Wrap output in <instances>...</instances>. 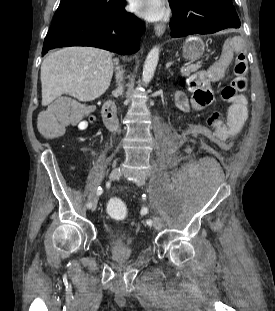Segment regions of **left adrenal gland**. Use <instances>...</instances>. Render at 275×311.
Returning a JSON list of instances; mask_svg holds the SVG:
<instances>
[{"instance_id":"a2214340","label":"left adrenal gland","mask_w":275,"mask_h":311,"mask_svg":"<svg viewBox=\"0 0 275 311\" xmlns=\"http://www.w3.org/2000/svg\"><path fill=\"white\" fill-rule=\"evenodd\" d=\"M173 64V62H168L167 64H166V67L168 68V67H170L171 65Z\"/></svg>"}]
</instances>
